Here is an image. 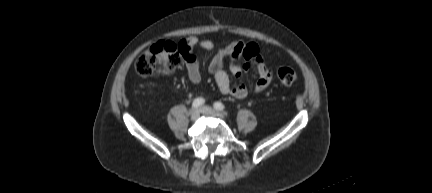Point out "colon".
Returning a JSON list of instances; mask_svg holds the SVG:
<instances>
[{
	"label": "colon",
	"instance_id": "1",
	"mask_svg": "<svg viewBox=\"0 0 432 193\" xmlns=\"http://www.w3.org/2000/svg\"><path fill=\"white\" fill-rule=\"evenodd\" d=\"M181 64V54L176 44L158 42L142 53L135 62V70L141 76L156 74H173ZM281 84L289 86L297 79L296 72L289 67H281L277 71Z\"/></svg>",
	"mask_w": 432,
	"mask_h": 193
}]
</instances>
